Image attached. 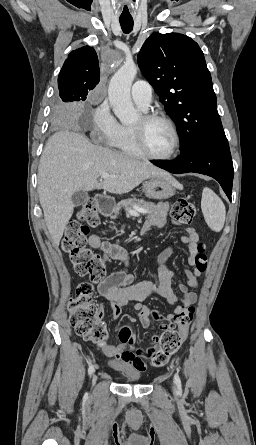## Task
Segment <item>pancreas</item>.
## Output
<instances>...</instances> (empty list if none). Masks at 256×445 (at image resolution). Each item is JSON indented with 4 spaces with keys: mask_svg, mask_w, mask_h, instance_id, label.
Listing matches in <instances>:
<instances>
[{
    "mask_svg": "<svg viewBox=\"0 0 256 445\" xmlns=\"http://www.w3.org/2000/svg\"><path fill=\"white\" fill-rule=\"evenodd\" d=\"M137 207L145 209L147 214H152L156 211L155 204H153L151 202H146L144 200H139L136 198H131V199L121 201L114 208L113 212L115 215L111 216V218L116 219L121 208H123L128 213L129 211L136 210Z\"/></svg>",
    "mask_w": 256,
    "mask_h": 445,
    "instance_id": "1",
    "label": "pancreas"
}]
</instances>
